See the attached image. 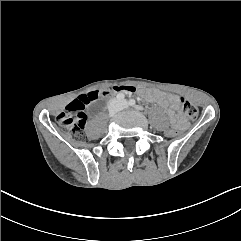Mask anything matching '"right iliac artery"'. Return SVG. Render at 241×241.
I'll use <instances>...</instances> for the list:
<instances>
[{"label":"right iliac artery","instance_id":"right-iliac-artery-1","mask_svg":"<svg viewBox=\"0 0 241 241\" xmlns=\"http://www.w3.org/2000/svg\"><path fill=\"white\" fill-rule=\"evenodd\" d=\"M124 94H122V93H119L117 96H116V98H117V100H119V101H122V100H124Z\"/></svg>","mask_w":241,"mask_h":241}]
</instances>
